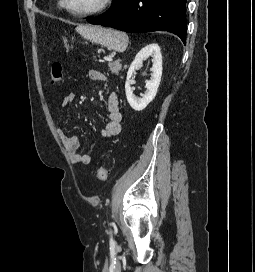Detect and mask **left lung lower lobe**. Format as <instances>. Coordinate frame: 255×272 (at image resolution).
Here are the masks:
<instances>
[{
	"label": "left lung lower lobe",
	"instance_id": "1",
	"mask_svg": "<svg viewBox=\"0 0 255 272\" xmlns=\"http://www.w3.org/2000/svg\"><path fill=\"white\" fill-rule=\"evenodd\" d=\"M87 21L127 33L168 31L186 42V0H113L107 13Z\"/></svg>",
	"mask_w": 255,
	"mask_h": 272
}]
</instances>
